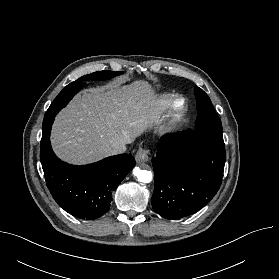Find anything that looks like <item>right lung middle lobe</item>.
Here are the masks:
<instances>
[{
    "label": "right lung middle lobe",
    "mask_w": 279,
    "mask_h": 279,
    "mask_svg": "<svg viewBox=\"0 0 279 279\" xmlns=\"http://www.w3.org/2000/svg\"><path fill=\"white\" fill-rule=\"evenodd\" d=\"M122 74V72L116 71H99L94 72L85 76L80 77L76 81L67 85L59 95L54 99L53 103L50 105L43 120L42 129V140L41 149L45 146L46 141L49 139L51 126L54 121L56 114L67 105L71 98L79 91L81 83L85 80H107L116 75Z\"/></svg>",
    "instance_id": "right-lung-middle-lobe-1"
}]
</instances>
